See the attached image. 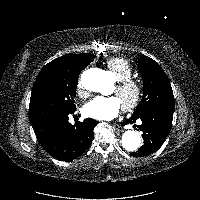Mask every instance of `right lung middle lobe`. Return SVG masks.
<instances>
[{"instance_id":"1","label":"right lung middle lobe","mask_w":200,"mask_h":200,"mask_svg":"<svg viewBox=\"0 0 200 200\" xmlns=\"http://www.w3.org/2000/svg\"><path fill=\"white\" fill-rule=\"evenodd\" d=\"M79 74L63 78L36 80L31 93L29 114L55 109H75Z\"/></svg>"}]
</instances>
